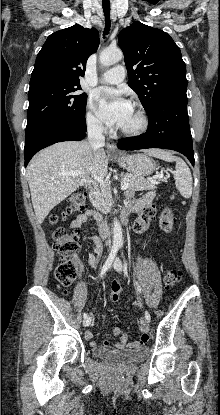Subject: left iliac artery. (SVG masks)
Returning <instances> with one entry per match:
<instances>
[{
  "mask_svg": "<svg viewBox=\"0 0 220 415\" xmlns=\"http://www.w3.org/2000/svg\"><path fill=\"white\" fill-rule=\"evenodd\" d=\"M119 248H122V245H119ZM124 267H125V269H127V262H126V261L124 262ZM134 282H135V285H136V289H137V291L141 294V288H140V285H139L138 281H137L135 278H134ZM145 317H146L148 320H150V319H151L150 314H149V312H148V311H145Z\"/></svg>",
  "mask_w": 220,
  "mask_h": 415,
  "instance_id": "left-iliac-artery-1",
  "label": "left iliac artery"
}]
</instances>
